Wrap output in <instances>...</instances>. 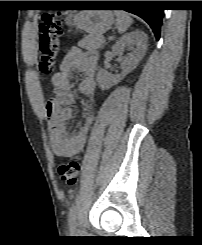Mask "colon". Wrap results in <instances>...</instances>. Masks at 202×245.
<instances>
[{
    "label": "colon",
    "instance_id": "obj_1",
    "mask_svg": "<svg viewBox=\"0 0 202 245\" xmlns=\"http://www.w3.org/2000/svg\"><path fill=\"white\" fill-rule=\"evenodd\" d=\"M39 71L49 75L54 71L55 63L62 46L63 23L53 15H43L39 26ZM81 171L78 157L63 161L58 167L62 181L75 185Z\"/></svg>",
    "mask_w": 202,
    "mask_h": 245
}]
</instances>
